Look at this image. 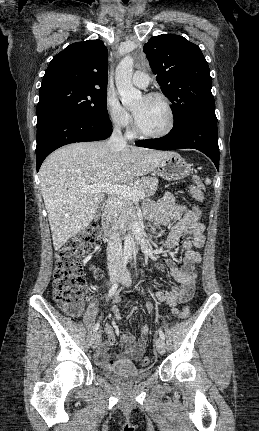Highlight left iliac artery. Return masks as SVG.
<instances>
[{
	"instance_id": "1",
	"label": "left iliac artery",
	"mask_w": 259,
	"mask_h": 431,
	"mask_svg": "<svg viewBox=\"0 0 259 431\" xmlns=\"http://www.w3.org/2000/svg\"><path fill=\"white\" fill-rule=\"evenodd\" d=\"M131 259H132V257H131ZM158 332H159V336L164 340L165 339V335H164L163 331L162 330H158Z\"/></svg>"
}]
</instances>
